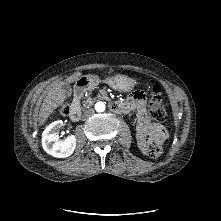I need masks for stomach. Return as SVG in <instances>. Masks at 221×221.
<instances>
[{
    "label": "stomach",
    "mask_w": 221,
    "mask_h": 221,
    "mask_svg": "<svg viewBox=\"0 0 221 221\" xmlns=\"http://www.w3.org/2000/svg\"><path fill=\"white\" fill-rule=\"evenodd\" d=\"M98 80L99 78L95 75H87L78 79L77 82L80 81L86 82V85L89 87L94 85L96 82H98ZM107 83L113 89L122 92H130L133 90L135 86V81L132 78L120 74L108 78Z\"/></svg>",
    "instance_id": "stomach-1"
}]
</instances>
